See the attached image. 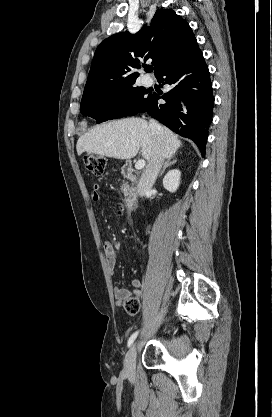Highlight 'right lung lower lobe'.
<instances>
[{
  "mask_svg": "<svg viewBox=\"0 0 272 417\" xmlns=\"http://www.w3.org/2000/svg\"><path fill=\"white\" fill-rule=\"evenodd\" d=\"M171 90L150 94L137 113H147L174 132L192 139L205 155L208 128L212 121L214 97L208 67L197 42L157 76ZM164 99L165 103L158 102Z\"/></svg>",
  "mask_w": 272,
  "mask_h": 417,
  "instance_id": "98d812e1",
  "label": "right lung lower lobe"
}]
</instances>
